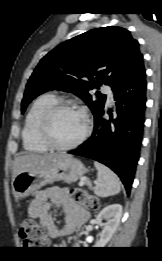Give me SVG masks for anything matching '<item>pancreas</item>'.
<instances>
[{"label":"pancreas","instance_id":"pancreas-1","mask_svg":"<svg viewBox=\"0 0 162 261\" xmlns=\"http://www.w3.org/2000/svg\"><path fill=\"white\" fill-rule=\"evenodd\" d=\"M84 184H86V185H88V186H91V184H90V181H89V180H85V181H84Z\"/></svg>","mask_w":162,"mask_h":261}]
</instances>
